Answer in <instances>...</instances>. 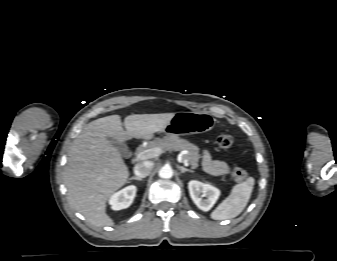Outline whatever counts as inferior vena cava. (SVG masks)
Returning a JSON list of instances; mask_svg holds the SVG:
<instances>
[{
  "instance_id": "1",
  "label": "inferior vena cava",
  "mask_w": 337,
  "mask_h": 261,
  "mask_svg": "<svg viewBox=\"0 0 337 261\" xmlns=\"http://www.w3.org/2000/svg\"><path fill=\"white\" fill-rule=\"evenodd\" d=\"M153 165L151 161L138 163L134 166V173L137 177L145 178L151 173Z\"/></svg>"
}]
</instances>
